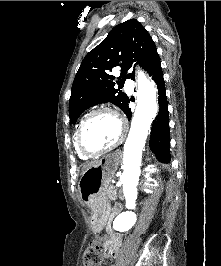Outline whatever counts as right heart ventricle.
<instances>
[{"label":"right heart ventricle","instance_id":"e07e8e85","mask_svg":"<svg viewBox=\"0 0 221 266\" xmlns=\"http://www.w3.org/2000/svg\"><path fill=\"white\" fill-rule=\"evenodd\" d=\"M83 120H84V119H81V121L79 122V125H78V127H77V129H76V131H75L73 144H74V148H75V151H76L77 155H78L81 159H88L90 156H87V155L83 154V153L80 151V149H79V147H78V145H77V134H78L79 127H80V125H81V123H82Z\"/></svg>","mask_w":221,"mask_h":266}]
</instances>
